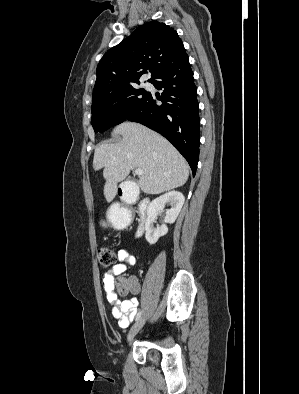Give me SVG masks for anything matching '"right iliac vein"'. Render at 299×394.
I'll return each instance as SVG.
<instances>
[{
    "label": "right iliac vein",
    "mask_w": 299,
    "mask_h": 394,
    "mask_svg": "<svg viewBox=\"0 0 299 394\" xmlns=\"http://www.w3.org/2000/svg\"><path fill=\"white\" fill-rule=\"evenodd\" d=\"M145 321H146L145 317H141L132 326V328L129 331L128 337H127L128 342L133 340V338L136 336V334L141 330V328L145 324Z\"/></svg>",
    "instance_id": "right-iliac-vein-1"
}]
</instances>
